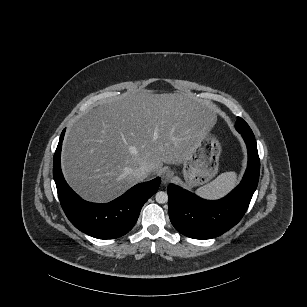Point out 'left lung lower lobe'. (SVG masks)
<instances>
[{
	"label": "left lung lower lobe",
	"mask_w": 307,
	"mask_h": 307,
	"mask_svg": "<svg viewBox=\"0 0 307 307\" xmlns=\"http://www.w3.org/2000/svg\"><path fill=\"white\" fill-rule=\"evenodd\" d=\"M248 150V166L241 183L217 201L199 198L181 187L168 186L169 217L175 229L194 239L217 237L236 225L246 212L256 190L260 160L252 132L238 131Z\"/></svg>",
	"instance_id": "obj_1"
}]
</instances>
